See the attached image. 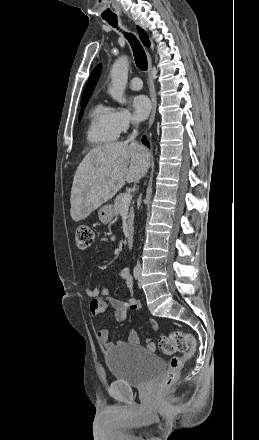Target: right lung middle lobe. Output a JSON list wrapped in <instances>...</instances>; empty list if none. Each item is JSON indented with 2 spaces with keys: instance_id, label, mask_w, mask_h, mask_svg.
<instances>
[{
  "instance_id": "right-lung-middle-lobe-1",
  "label": "right lung middle lobe",
  "mask_w": 259,
  "mask_h": 440,
  "mask_svg": "<svg viewBox=\"0 0 259 440\" xmlns=\"http://www.w3.org/2000/svg\"><path fill=\"white\" fill-rule=\"evenodd\" d=\"M88 100H89V98L81 99V112L79 114V120L81 119V116H82V113H83V109L85 108Z\"/></svg>"
}]
</instances>
